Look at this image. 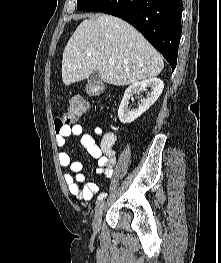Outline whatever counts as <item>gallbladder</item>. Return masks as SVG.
Returning a JSON list of instances; mask_svg holds the SVG:
<instances>
[{
    "label": "gallbladder",
    "mask_w": 221,
    "mask_h": 263,
    "mask_svg": "<svg viewBox=\"0 0 221 263\" xmlns=\"http://www.w3.org/2000/svg\"><path fill=\"white\" fill-rule=\"evenodd\" d=\"M100 81H101V76L97 70L94 71L88 78V84L90 85L99 84Z\"/></svg>",
    "instance_id": "obj_1"
}]
</instances>
